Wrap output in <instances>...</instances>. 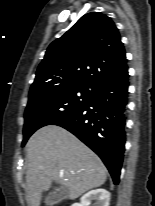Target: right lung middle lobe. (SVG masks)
I'll return each instance as SVG.
<instances>
[{
    "label": "right lung middle lobe",
    "instance_id": "obj_1",
    "mask_svg": "<svg viewBox=\"0 0 155 206\" xmlns=\"http://www.w3.org/2000/svg\"><path fill=\"white\" fill-rule=\"evenodd\" d=\"M95 91L84 85H70L29 96L24 117L22 146L39 128L53 125L86 105L93 98Z\"/></svg>",
    "mask_w": 155,
    "mask_h": 206
}]
</instances>
